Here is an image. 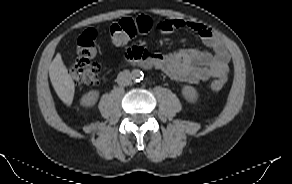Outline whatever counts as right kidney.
Returning a JSON list of instances; mask_svg holds the SVG:
<instances>
[{
    "label": "right kidney",
    "instance_id": "ca27d5eb",
    "mask_svg": "<svg viewBox=\"0 0 292 184\" xmlns=\"http://www.w3.org/2000/svg\"><path fill=\"white\" fill-rule=\"evenodd\" d=\"M99 97V92L96 90L89 91L88 93L84 94L81 98V105L85 107L93 106Z\"/></svg>",
    "mask_w": 292,
    "mask_h": 184
}]
</instances>
